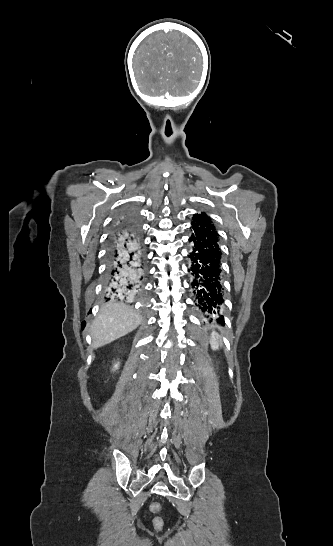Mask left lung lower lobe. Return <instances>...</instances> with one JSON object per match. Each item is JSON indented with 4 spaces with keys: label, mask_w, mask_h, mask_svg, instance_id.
I'll use <instances>...</instances> for the list:
<instances>
[{
    "label": "left lung lower lobe",
    "mask_w": 333,
    "mask_h": 546,
    "mask_svg": "<svg viewBox=\"0 0 333 546\" xmlns=\"http://www.w3.org/2000/svg\"><path fill=\"white\" fill-rule=\"evenodd\" d=\"M191 224L193 234L189 241L194 246L189 255L191 266L188 271L193 276L191 286L195 304L205 316H219L218 322L223 324L222 253L218 245V233L207 216L194 215Z\"/></svg>",
    "instance_id": "obj_1"
}]
</instances>
